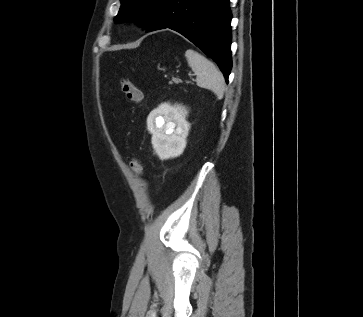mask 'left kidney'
Returning a JSON list of instances; mask_svg holds the SVG:
<instances>
[{"mask_svg": "<svg viewBox=\"0 0 363 317\" xmlns=\"http://www.w3.org/2000/svg\"><path fill=\"white\" fill-rule=\"evenodd\" d=\"M152 145L161 159L180 156L186 147L189 124L185 117L168 103L152 111L147 120Z\"/></svg>", "mask_w": 363, "mask_h": 317, "instance_id": "left-kidney-1", "label": "left kidney"}]
</instances>
